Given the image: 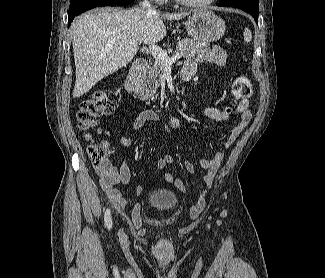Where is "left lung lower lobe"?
I'll return each mask as SVG.
<instances>
[{"mask_svg":"<svg viewBox=\"0 0 325 278\" xmlns=\"http://www.w3.org/2000/svg\"><path fill=\"white\" fill-rule=\"evenodd\" d=\"M218 6L235 7L251 14L258 24L259 3L258 0H221Z\"/></svg>","mask_w":325,"mask_h":278,"instance_id":"0a47b994","label":"left lung lower lobe"}]
</instances>
